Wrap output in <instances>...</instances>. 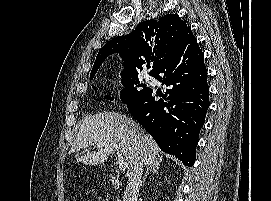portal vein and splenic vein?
<instances>
[{
	"label": "portal vein and splenic vein",
	"mask_w": 271,
	"mask_h": 201,
	"mask_svg": "<svg viewBox=\"0 0 271 201\" xmlns=\"http://www.w3.org/2000/svg\"><path fill=\"white\" fill-rule=\"evenodd\" d=\"M98 147H101V145H98ZM116 156L120 171H125L128 167L127 162L123 160V156L120 152L116 151Z\"/></svg>",
	"instance_id": "obj_1"
}]
</instances>
